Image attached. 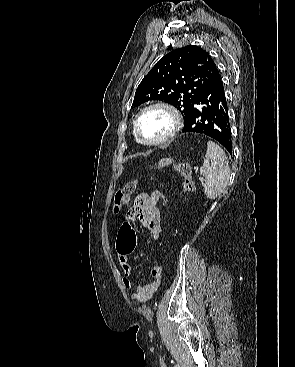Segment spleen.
I'll list each match as a JSON object with an SVG mask.
<instances>
[{
  "label": "spleen",
  "instance_id": "3e777b00",
  "mask_svg": "<svg viewBox=\"0 0 295 367\" xmlns=\"http://www.w3.org/2000/svg\"><path fill=\"white\" fill-rule=\"evenodd\" d=\"M200 174L205 177L204 194L209 199H215L221 195L229 183V161L222 148L212 141L207 142V151Z\"/></svg>",
  "mask_w": 295,
  "mask_h": 367
}]
</instances>
